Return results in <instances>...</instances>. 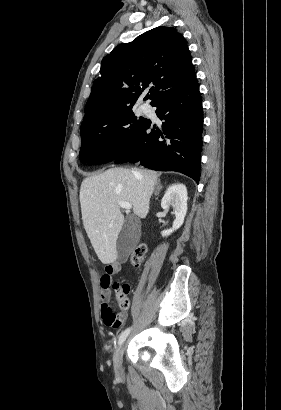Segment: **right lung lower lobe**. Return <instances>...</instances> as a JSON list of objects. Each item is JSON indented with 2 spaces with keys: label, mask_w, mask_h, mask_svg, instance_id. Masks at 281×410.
<instances>
[{
  "label": "right lung lower lobe",
  "mask_w": 281,
  "mask_h": 410,
  "mask_svg": "<svg viewBox=\"0 0 281 410\" xmlns=\"http://www.w3.org/2000/svg\"><path fill=\"white\" fill-rule=\"evenodd\" d=\"M152 106L164 120L161 128L148 120L115 163H139L158 171H178L200 180L203 110L197 80L185 89L160 97Z\"/></svg>",
  "instance_id": "1"
}]
</instances>
